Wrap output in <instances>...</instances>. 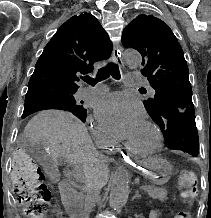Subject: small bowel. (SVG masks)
I'll return each instance as SVG.
<instances>
[{
  "label": "small bowel",
  "instance_id": "obj_1",
  "mask_svg": "<svg viewBox=\"0 0 211 218\" xmlns=\"http://www.w3.org/2000/svg\"><path fill=\"white\" fill-rule=\"evenodd\" d=\"M161 213L158 209L151 210L149 213V218H160Z\"/></svg>",
  "mask_w": 211,
  "mask_h": 218
}]
</instances>
